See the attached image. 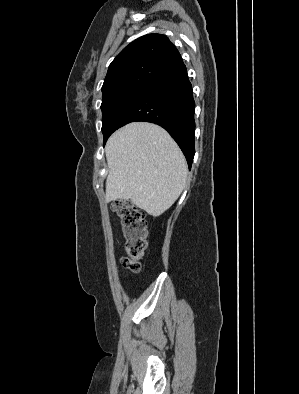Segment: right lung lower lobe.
<instances>
[{"mask_svg": "<svg viewBox=\"0 0 299 394\" xmlns=\"http://www.w3.org/2000/svg\"><path fill=\"white\" fill-rule=\"evenodd\" d=\"M194 109L192 85L182 64L142 92L123 113L113 132L130 122L155 123L177 142L191 168L195 154Z\"/></svg>", "mask_w": 299, "mask_h": 394, "instance_id": "obj_1", "label": "right lung lower lobe"}]
</instances>
